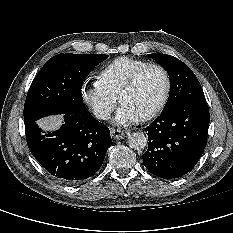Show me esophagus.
Here are the masks:
<instances>
[{
  "mask_svg": "<svg viewBox=\"0 0 233 233\" xmlns=\"http://www.w3.org/2000/svg\"><path fill=\"white\" fill-rule=\"evenodd\" d=\"M110 132H111L112 137L115 139H122L127 134L126 132L118 130V129L117 130L111 129Z\"/></svg>",
  "mask_w": 233,
  "mask_h": 233,
  "instance_id": "obj_1",
  "label": "esophagus"
}]
</instances>
